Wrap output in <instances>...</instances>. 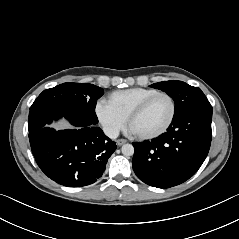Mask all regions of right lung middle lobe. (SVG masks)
Returning a JSON list of instances; mask_svg holds the SVG:
<instances>
[{"label":"right lung middle lobe","instance_id":"dd1d6c3e","mask_svg":"<svg viewBox=\"0 0 239 239\" xmlns=\"http://www.w3.org/2000/svg\"><path fill=\"white\" fill-rule=\"evenodd\" d=\"M102 95V88L87 83L69 82L46 89L30 108L28 130L62 116L73 121L97 123L94 109Z\"/></svg>","mask_w":239,"mask_h":239}]
</instances>
